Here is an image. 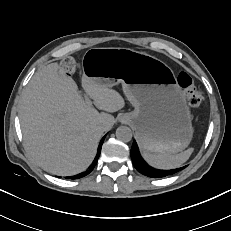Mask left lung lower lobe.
Wrapping results in <instances>:
<instances>
[{"instance_id": "left-lung-lower-lobe-1", "label": "left lung lower lobe", "mask_w": 231, "mask_h": 231, "mask_svg": "<svg viewBox=\"0 0 231 231\" xmlns=\"http://www.w3.org/2000/svg\"><path fill=\"white\" fill-rule=\"evenodd\" d=\"M131 159H132V162L135 168L140 173L146 176H149V177H153V178H161V177L173 175L186 167L184 166L181 168H176V169H171V170H158V169L151 168L144 162V160L140 156L139 150H138V147L135 141L133 142V145L131 148Z\"/></svg>"}]
</instances>
